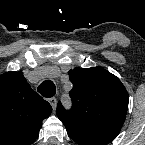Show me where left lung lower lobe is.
<instances>
[{
    "instance_id": "left-lung-lower-lobe-1",
    "label": "left lung lower lobe",
    "mask_w": 145,
    "mask_h": 145,
    "mask_svg": "<svg viewBox=\"0 0 145 145\" xmlns=\"http://www.w3.org/2000/svg\"><path fill=\"white\" fill-rule=\"evenodd\" d=\"M68 135L79 145H106L113 141L120 132L115 127H84L66 125Z\"/></svg>"
}]
</instances>
